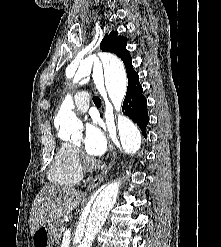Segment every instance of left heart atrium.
<instances>
[{
	"label": "left heart atrium",
	"instance_id": "1",
	"mask_svg": "<svg viewBox=\"0 0 221 247\" xmlns=\"http://www.w3.org/2000/svg\"><path fill=\"white\" fill-rule=\"evenodd\" d=\"M107 137L96 120H90L85 126L84 147L92 156L102 155L107 148Z\"/></svg>",
	"mask_w": 221,
	"mask_h": 247
}]
</instances>
